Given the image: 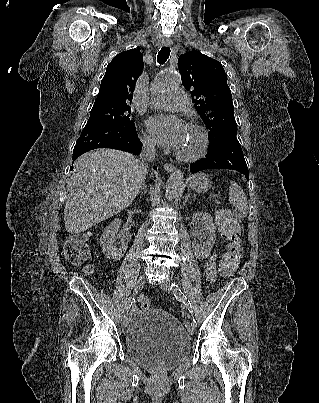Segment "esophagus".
<instances>
[{
	"instance_id": "1",
	"label": "esophagus",
	"mask_w": 319,
	"mask_h": 403,
	"mask_svg": "<svg viewBox=\"0 0 319 403\" xmlns=\"http://www.w3.org/2000/svg\"><path fill=\"white\" fill-rule=\"evenodd\" d=\"M172 44H173V42L171 40H167V41L164 42V46H166V47H171ZM164 169L166 171H168V172H172V171L175 170V166L173 164H171V163H166L164 165Z\"/></svg>"
}]
</instances>
